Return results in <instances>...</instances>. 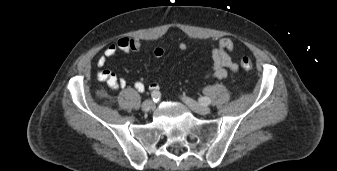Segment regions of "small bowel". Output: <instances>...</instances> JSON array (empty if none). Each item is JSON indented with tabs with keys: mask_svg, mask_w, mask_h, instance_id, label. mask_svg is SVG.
<instances>
[{
	"mask_svg": "<svg viewBox=\"0 0 337 171\" xmlns=\"http://www.w3.org/2000/svg\"><path fill=\"white\" fill-rule=\"evenodd\" d=\"M211 55L212 66L210 70L203 74L205 79H224L229 75H233L238 72V64L233 61L230 56V52L235 50V43L230 38H222L219 42L214 45L210 44L206 46ZM141 48V42L135 38L121 37L117 42L110 44L106 47L102 55L97 59L96 64L98 67L102 68L106 65L107 61L112 59L119 51L125 53H134L139 51ZM178 48L180 51H186L187 45L185 43H179ZM164 50L162 47H155L153 49V55L157 58L162 57ZM97 80L100 82H105L109 88L112 90L124 89L127 87L128 83L123 78H118L115 73L110 70H102L96 75ZM150 89L157 91L159 89V84L157 82H152L149 85ZM134 88L138 92H143L145 90V85L142 82H135Z\"/></svg>",
	"mask_w": 337,
	"mask_h": 171,
	"instance_id": "c3829d8e",
	"label": "small bowel"
}]
</instances>
